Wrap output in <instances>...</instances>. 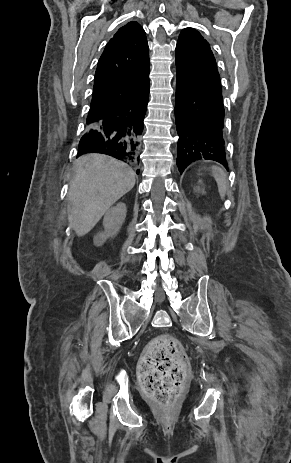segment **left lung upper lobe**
I'll return each instance as SVG.
<instances>
[{
  "mask_svg": "<svg viewBox=\"0 0 291 463\" xmlns=\"http://www.w3.org/2000/svg\"><path fill=\"white\" fill-rule=\"evenodd\" d=\"M177 74L222 91L220 76L209 43L192 28L184 29L176 45Z\"/></svg>",
  "mask_w": 291,
  "mask_h": 463,
  "instance_id": "left-lung-upper-lobe-1",
  "label": "left lung upper lobe"
}]
</instances>
